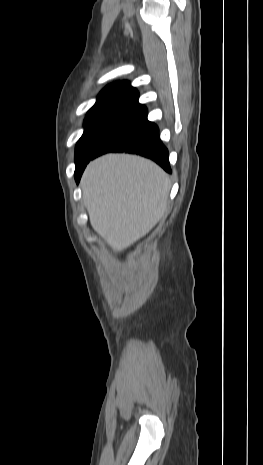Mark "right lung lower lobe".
Returning <instances> with one entry per match:
<instances>
[{
    "label": "right lung lower lobe",
    "instance_id": "right-lung-lower-lobe-1",
    "mask_svg": "<svg viewBox=\"0 0 263 465\" xmlns=\"http://www.w3.org/2000/svg\"><path fill=\"white\" fill-rule=\"evenodd\" d=\"M108 152L145 156L154 160L167 172H171L168 150L159 138V129L147 120V109L139 103L110 131L90 160ZM87 163L75 169L77 183Z\"/></svg>",
    "mask_w": 263,
    "mask_h": 465
}]
</instances>
